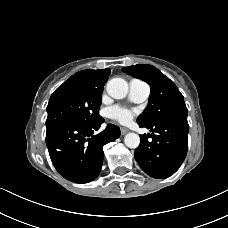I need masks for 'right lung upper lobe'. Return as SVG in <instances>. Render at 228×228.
I'll return each instance as SVG.
<instances>
[{
  "label": "right lung upper lobe",
  "mask_w": 228,
  "mask_h": 228,
  "mask_svg": "<svg viewBox=\"0 0 228 228\" xmlns=\"http://www.w3.org/2000/svg\"><path fill=\"white\" fill-rule=\"evenodd\" d=\"M110 69L104 70H83L72 75L68 80L76 82L89 90H102L108 77Z\"/></svg>",
  "instance_id": "1"
}]
</instances>
